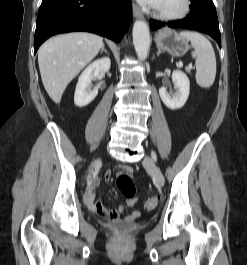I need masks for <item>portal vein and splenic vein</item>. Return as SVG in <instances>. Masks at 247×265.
<instances>
[{
	"instance_id": "portal-vein-and-splenic-vein-1",
	"label": "portal vein and splenic vein",
	"mask_w": 247,
	"mask_h": 265,
	"mask_svg": "<svg viewBox=\"0 0 247 265\" xmlns=\"http://www.w3.org/2000/svg\"><path fill=\"white\" fill-rule=\"evenodd\" d=\"M179 66H180V67L183 66L182 62L179 63ZM189 68H192V65H189Z\"/></svg>"
}]
</instances>
